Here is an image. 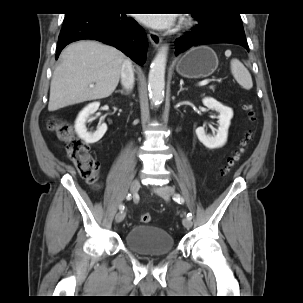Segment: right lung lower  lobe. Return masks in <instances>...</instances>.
Masks as SVG:
<instances>
[{"label": "right lung lower lobe", "instance_id": "98d812e1", "mask_svg": "<svg viewBox=\"0 0 303 303\" xmlns=\"http://www.w3.org/2000/svg\"><path fill=\"white\" fill-rule=\"evenodd\" d=\"M83 39H93L110 44L136 63L143 65L145 62L148 47L146 34L134 19L125 14L92 8L66 14L55 58H58L66 45Z\"/></svg>", "mask_w": 303, "mask_h": 303}]
</instances>
